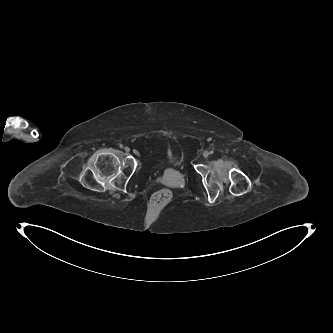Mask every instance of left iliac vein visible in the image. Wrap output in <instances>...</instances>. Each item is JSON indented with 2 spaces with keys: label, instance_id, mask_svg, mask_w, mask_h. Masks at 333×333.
Listing matches in <instances>:
<instances>
[{
  "label": "left iliac vein",
  "instance_id": "left-iliac-vein-1",
  "mask_svg": "<svg viewBox=\"0 0 333 333\" xmlns=\"http://www.w3.org/2000/svg\"><path fill=\"white\" fill-rule=\"evenodd\" d=\"M203 156L204 157H208L209 156V152H207V151L203 152Z\"/></svg>",
  "mask_w": 333,
  "mask_h": 333
}]
</instances>
